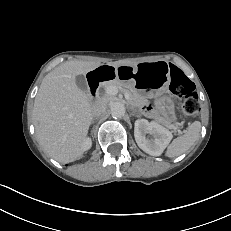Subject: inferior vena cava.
I'll return each instance as SVG.
<instances>
[{
	"label": "inferior vena cava",
	"instance_id": "602c4592",
	"mask_svg": "<svg viewBox=\"0 0 231 231\" xmlns=\"http://www.w3.org/2000/svg\"><path fill=\"white\" fill-rule=\"evenodd\" d=\"M106 111V102L103 100L96 101L92 106V115L97 117L105 113Z\"/></svg>",
	"mask_w": 231,
	"mask_h": 231
}]
</instances>
